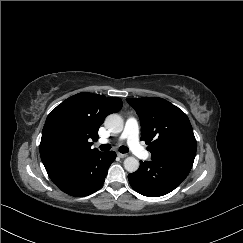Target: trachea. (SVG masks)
<instances>
[{"instance_id":"1","label":"trachea","mask_w":243,"mask_h":243,"mask_svg":"<svg viewBox=\"0 0 243 243\" xmlns=\"http://www.w3.org/2000/svg\"><path fill=\"white\" fill-rule=\"evenodd\" d=\"M99 148L102 151H109L111 149V145L110 144H103V145H100ZM119 151L121 153H127V152H129V149L126 146H120Z\"/></svg>"}]
</instances>
